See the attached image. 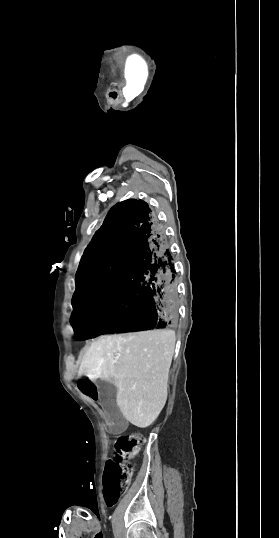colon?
<instances>
[{
    "instance_id": "5ec220e1",
    "label": "colon",
    "mask_w": 279,
    "mask_h": 538,
    "mask_svg": "<svg viewBox=\"0 0 279 538\" xmlns=\"http://www.w3.org/2000/svg\"><path fill=\"white\" fill-rule=\"evenodd\" d=\"M144 438L139 433L120 437L114 445V453L104 471V498L108 507L114 506L130 483L133 466L131 460L139 453Z\"/></svg>"
}]
</instances>
